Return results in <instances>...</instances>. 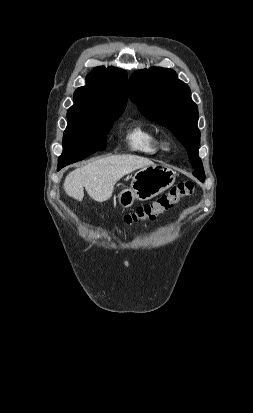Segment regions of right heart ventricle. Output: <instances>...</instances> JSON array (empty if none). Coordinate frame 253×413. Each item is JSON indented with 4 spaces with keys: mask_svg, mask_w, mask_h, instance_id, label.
Here are the masks:
<instances>
[{
    "mask_svg": "<svg viewBox=\"0 0 253 413\" xmlns=\"http://www.w3.org/2000/svg\"><path fill=\"white\" fill-rule=\"evenodd\" d=\"M125 142L131 151L154 155L161 149V140L158 133L142 122H136L126 132Z\"/></svg>",
    "mask_w": 253,
    "mask_h": 413,
    "instance_id": "1",
    "label": "right heart ventricle"
}]
</instances>
